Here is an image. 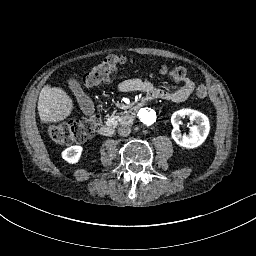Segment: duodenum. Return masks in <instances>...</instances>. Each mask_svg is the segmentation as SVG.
<instances>
[{
    "mask_svg": "<svg viewBox=\"0 0 256 256\" xmlns=\"http://www.w3.org/2000/svg\"><path fill=\"white\" fill-rule=\"evenodd\" d=\"M147 104H148L147 99H145V98L140 99V101H138L137 105L133 106L132 111L127 112V117L134 118L135 114L140 113L141 109L146 108ZM113 131H114V129H113L112 125L105 124L99 128L98 132H99V135L102 137H110V136H112Z\"/></svg>",
    "mask_w": 256,
    "mask_h": 256,
    "instance_id": "410a0bca",
    "label": "duodenum"
}]
</instances>
